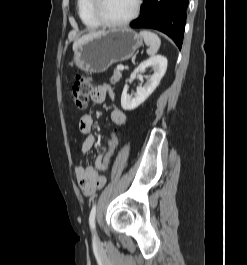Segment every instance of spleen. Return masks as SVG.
I'll return each mask as SVG.
<instances>
[{"instance_id": "spleen-1", "label": "spleen", "mask_w": 247, "mask_h": 265, "mask_svg": "<svg viewBox=\"0 0 247 265\" xmlns=\"http://www.w3.org/2000/svg\"><path fill=\"white\" fill-rule=\"evenodd\" d=\"M139 35L144 39L145 44L148 46L147 54L149 56L155 55L161 45L160 38L155 33L146 30L141 31Z\"/></svg>"}]
</instances>
